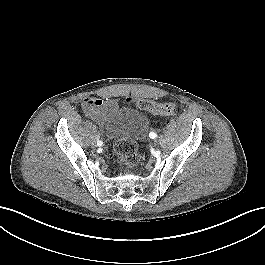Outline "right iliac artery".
<instances>
[{
    "label": "right iliac artery",
    "instance_id": "right-iliac-artery-1",
    "mask_svg": "<svg viewBox=\"0 0 265 265\" xmlns=\"http://www.w3.org/2000/svg\"><path fill=\"white\" fill-rule=\"evenodd\" d=\"M97 145L98 146H102L103 145V142L102 141H97Z\"/></svg>",
    "mask_w": 265,
    "mask_h": 265
}]
</instances>
